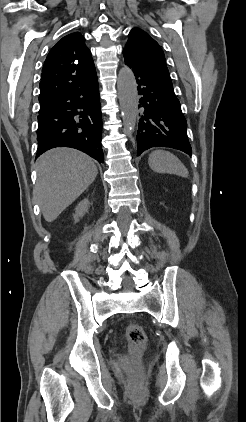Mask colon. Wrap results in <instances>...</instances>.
<instances>
[{
	"label": "colon",
	"mask_w": 246,
	"mask_h": 422,
	"mask_svg": "<svg viewBox=\"0 0 246 422\" xmlns=\"http://www.w3.org/2000/svg\"><path fill=\"white\" fill-rule=\"evenodd\" d=\"M126 338L132 356L138 358L147 344L145 331L140 325L131 323L126 328Z\"/></svg>",
	"instance_id": "obj_1"
}]
</instances>
